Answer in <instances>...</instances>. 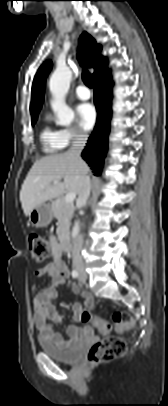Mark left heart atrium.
<instances>
[{
	"label": "left heart atrium",
	"mask_w": 168,
	"mask_h": 406,
	"mask_svg": "<svg viewBox=\"0 0 168 406\" xmlns=\"http://www.w3.org/2000/svg\"><path fill=\"white\" fill-rule=\"evenodd\" d=\"M77 113L82 128L85 130L92 129L97 120L95 107L90 103H83L78 106Z\"/></svg>",
	"instance_id": "1"
}]
</instances>
